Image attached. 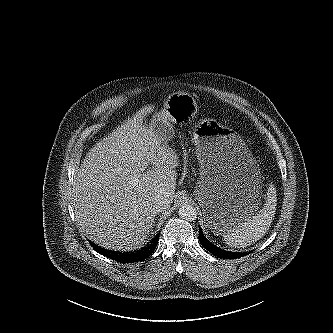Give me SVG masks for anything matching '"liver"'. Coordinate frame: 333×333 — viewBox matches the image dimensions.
<instances>
[{
	"instance_id": "6515ba94",
	"label": "liver",
	"mask_w": 333,
	"mask_h": 333,
	"mask_svg": "<svg viewBox=\"0 0 333 333\" xmlns=\"http://www.w3.org/2000/svg\"><path fill=\"white\" fill-rule=\"evenodd\" d=\"M150 110L138 111L98 142L74 178L72 206L80 230L106 249L138 248L155 223V196L173 201L178 156L143 125Z\"/></svg>"
}]
</instances>
